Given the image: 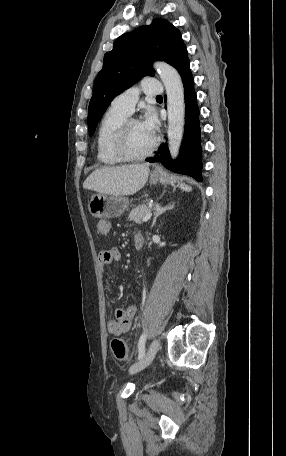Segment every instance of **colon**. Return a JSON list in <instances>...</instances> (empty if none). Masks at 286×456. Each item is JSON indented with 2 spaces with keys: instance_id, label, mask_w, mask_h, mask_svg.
<instances>
[{
  "instance_id": "colon-1",
  "label": "colon",
  "mask_w": 286,
  "mask_h": 456,
  "mask_svg": "<svg viewBox=\"0 0 286 456\" xmlns=\"http://www.w3.org/2000/svg\"><path fill=\"white\" fill-rule=\"evenodd\" d=\"M112 352L117 360L124 361L128 357V347L124 340L116 338L111 342Z\"/></svg>"
}]
</instances>
